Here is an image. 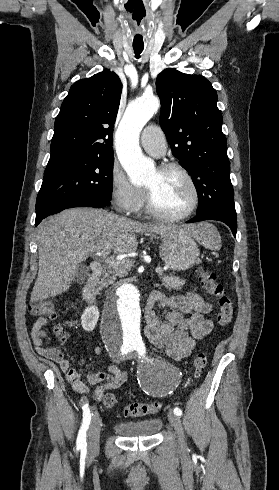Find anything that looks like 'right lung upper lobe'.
Instances as JSON below:
<instances>
[{
    "label": "right lung upper lobe",
    "instance_id": "obj_1",
    "mask_svg": "<svg viewBox=\"0 0 279 490\" xmlns=\"http://www.w3.org/2000/svg\"><path fill=\"white\" fill-rule=\"evenodd\" d=\"M121 90L118 76L109 70L74 83L55 120L48 163L113 151Z\"/></svg>",
    "mask_w": 279,
    "mask_h": 490
}]
</instances>
